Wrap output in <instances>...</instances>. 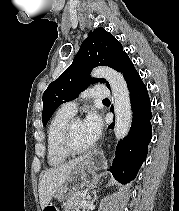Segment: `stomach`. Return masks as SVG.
Segmentation results:
<instances>
[{"label": "stomach", "instance_id": "0dacf381", "mask_svg": "<svg viewBox=\"0 0 179 211\" xmlns=\"http://www.w3.org/2000/svg\"><path fill=\"white\" fill-rule=\"evenodd\" d=\"M91 166H92V160L87 159L82 165L77 166L75 169H73L68 179L59 189L55 197L59 200H65L71 194L83 189L87 182L86 171L89 170Z\"/></svg>", "mask_w": 179, "mask_h": 211}]
</instances>
